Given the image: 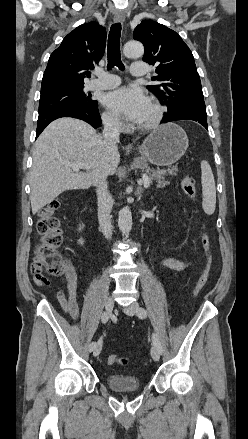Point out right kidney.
Masks as SVG:
<instances>
[{"mask_svg": "<svg viewBox=\"0 0 248 439\" xmlns=\"http://www.w3.org/2000/svg\"><path fill=\"white\" fill-rule=\"evenodd\" d=\"M84 228V225L82 224V225H80V227H79V231H81L82 229ZM79 244H81V245H83L84 244V240L81 238V239H79Z\"/></svg>", "mask_w": 248, "mask_h": 439, "instance_id": "right-kidney-1", "label": "right kidney"}]
</instances>
